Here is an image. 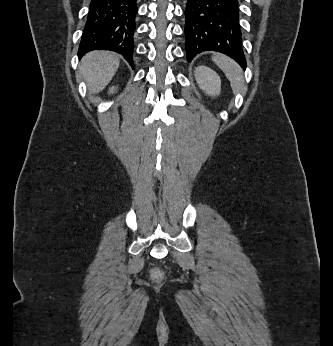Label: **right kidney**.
<instances>
[{"mask_svg":"<svg viewBox=\"0 0 333 346\" xmlns=\"http://www.w3.org/2000/svg\"><path fill=\"white\" fill-rule=\"evenodd\" d=\"M114 89H115V88H114V87H112V88L110 89V92H111V93H113Z\"/></svg>","mask_w":333,"mask_h":346,"instance_id":"right-kidney-1","label":"right kidney"}]
</instances>
